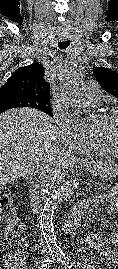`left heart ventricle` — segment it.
I'll list each match as a JSON object with an SVG mask.
<instances>
[{"instance_id": "1", "label": "left heart ventricle", "mask_w": 118, "mask_h": 269, "mask_svg": "<svg viewBox=\"0 0 118 269\" xmlns=\"http://www.w3.org/2000/svg\"><path fill=\"white\" fill-rule=\"evenodd\" d=\"M92 131L97 135H105L118 142V116L109 121L99 118Z\"/></svg>"}]
</instances>
